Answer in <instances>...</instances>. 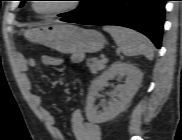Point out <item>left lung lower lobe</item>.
Wrapping results in <instances>:
<instances>
[{
	"mask_svg": "<svg viewBox=\"0 0 182 140\" xmlns=\"http://www.w3.org/2000/svg\"><path fill=\"white\" fill-rule=\"evenodd\" d=\"M166 0H101L88 15L62 21L88 25H118L137 30L161 47Z\"/></svg>",
	"mask_w": 182,
	"mask_h": 140,
	"instance_id": "0a47b994",
	"label": "left lung lower lobe"
}]
</instances>
